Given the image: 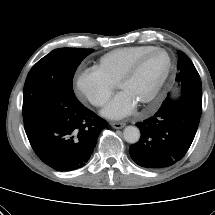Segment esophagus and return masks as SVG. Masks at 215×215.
<instances>
[{"instance_id":"obj_1","label":"esophagus","mask_w":215,"mask_h":215,"mask_svg":"<svg viewBox=\"0 0 215 215\" xmlns=\"http://www.w3.org/2000/svg\"><path fill=\"white\" fill-rule=\"evenodd\" d=\"M110 125L115 129H121L125 126L123 122H111Z\"/></svg>"}]
</instances>
